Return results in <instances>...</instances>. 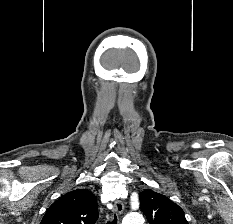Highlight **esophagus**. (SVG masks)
<instances>
[{
    "instance_id": "esophagus-1",
    "label": "esophagus",
    "mask_w": 233,
    "mask_h": 224,
    "mask_svg": "<svg viewBox=\"0 0 233 224\" xmlns=\"http://www.w3.org/2000/svg\"><path fill=\"white\" fill-rule=\"evenodd\" d=\"M124 211V205L121 201L117 200L115 202V208H114V212L117 214V215H121Z\"/></svg>"
}]
</instances>
